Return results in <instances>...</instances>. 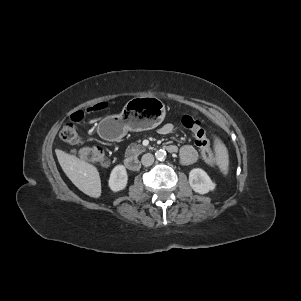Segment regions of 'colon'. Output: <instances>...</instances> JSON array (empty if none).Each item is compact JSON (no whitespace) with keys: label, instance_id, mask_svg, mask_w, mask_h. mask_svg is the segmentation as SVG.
Here are the masks:
<instances>
[{"label":"colon","instance_id":"1","mask_svg":"<svg viewBox=\"0 0 301 301\" xmlns=\"http://www.w3.org/2000/svg\"><path fill=\"white\" fill-rule=\"evenodd\" d=\"M105 107V103H98L90 107L88 111H97ZM83 118V111H77L70 116L69 121L64 124L60 131V137L64 142L71 145L82 144V137L77 131V124L80 123L83 120ZM181 123L185 128L189 129L193 133L195 138V144L200 149L204 161L207 164L216 167L217 162L213 156L209 141L207 139L205 130L202 127L201 122L190 115H185L183 116ZM75 152L81 159H83L86 162H89L94 166L106 167L109 164V160L104 150L100 146L93 145L88 147H81L78 150H75Z\"/></svg>","mask_w":301,"mask_h":301}]
</instances>
